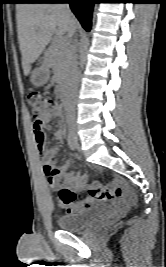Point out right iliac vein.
<instances>
[{"label":"right iliac vein","mask_w":166,"mask_h":267,"mask_svg":"<svg viewBox=\"0 0 166 267\" xmlns=\"http://www.w3.org/2000/svg\"><path fill=\"white\" fill-rule=\"evenodd\" d=\"M69 133L72 135L73 139L75 140V142L77 143L78 141V138H77V135H76V128L74 125H71L70 128H69Z\"/></svg>","instance_id":"right-iliac-vein-1"}]
</instances>
